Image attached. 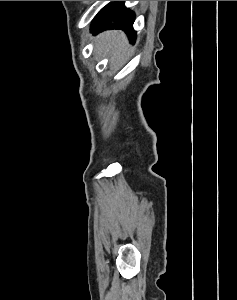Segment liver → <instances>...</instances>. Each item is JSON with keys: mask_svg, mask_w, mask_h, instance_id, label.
<instances>
[{"mask_svg": "<svg viewBox=\"0 0 237 300\" xmlns=\"http://www.w3.org/2000/svg\"><path fill=\"white\" fill-rule=\"evenodd\" d=\"M95 39V51L103 57H110L111 65L118 63L125 55H130V45L123 31H105Z\"/></svg>", "mask_w": 237, "mask_h": 300, "instance_id": "1", "label": "liver"}]
</instances>
